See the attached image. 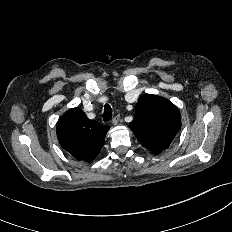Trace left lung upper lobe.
<instances>
[{
	"mask_svg": "<svg viewBox=\"0 0 232 232\" xmlns=\"http://www.w3.org/2000/svg\"><path fill=\"white\" fill-rule=\"evenodd\" d=\"M180 128V112L169 100L157 95L139 98L130 129L152 153L167 149Z\"/></svg>",
	"mask_w": 232,
	"mask_h": 232,
	"instance_id": "1",
	"label": "left lung upper lobe"
}]
</instances>
